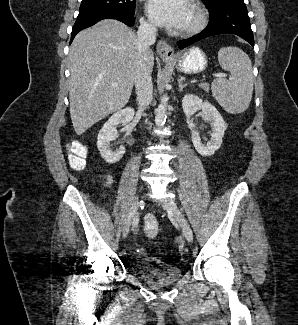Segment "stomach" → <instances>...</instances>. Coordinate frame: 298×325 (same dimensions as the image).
Masks as SVG:
<instances>
[{"label": "stomach", "instance_id": "stomach-1", "mask_svg": "<svg viewBox=\"0 0 298 325\" xmlns=\"http://www.w3.org/2000/svg\"><path fill=\"white\" fill-rule=\"evenodd\" d=\"M166 64H174L179 72L198 74L208 66V56L200 46H190L175 54V58H161Z\"/></svg>", "mask_w": 298, "mask_h": 325}]
</instances>
